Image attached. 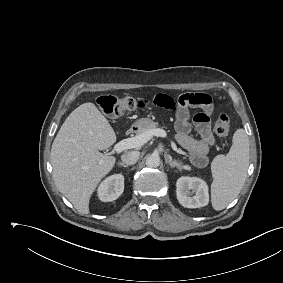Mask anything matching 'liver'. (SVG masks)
<instances>
[{
  "label": "liver",
  "mask_w": 283,
  "mask_h": 283,
  "mask_svg": "<svg viewBox=\"0 0 283 283\" xmlns=\"http://www.w3.org/2000/svg\"><path fill=\"white\" fill-rule=\"evenodd\" d=\"M116 134L93 103L77 107L64 121L51 148L53 178L58 190L82 214L99 182L116 158L99 150L112 146Z\"/></svg>",
  "instance_id": "6515ba94"
}]
</instances>
